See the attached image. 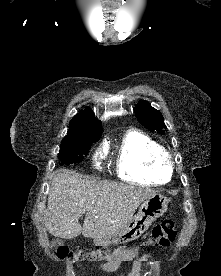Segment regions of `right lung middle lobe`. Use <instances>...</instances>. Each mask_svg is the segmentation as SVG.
I'll return each instance as SVG.
<instances>
[{"label": "right lung middle lobe", "instance_id": "right-lung-middle-lobe-1", "mask_svg": "<svg viewBox=\"0 0 221 276\" xmlns=\"http://www.w3.org/2000/svg\"><path fill=\"white\" fill-rule=\"evenodd\" d=\"M98 140H76L61 142L58 158L62 164L80 163L88 153L93 142Z\"/></svg>", "mask_w": 221, "mask_h": 276}]
</instances>
